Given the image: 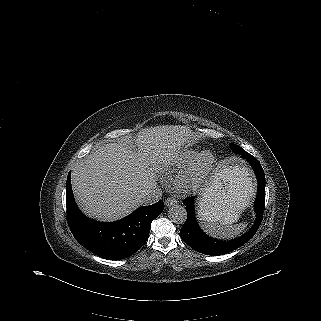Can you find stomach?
Masks as SVG:
<instances>
[{
	"label": "stomach",
	"instance_id": "stomach-1",
	"mask_svg": "<svg viewBox=\"0 0 321 321\" xmlns=\"http://www.w3.org/2000/svg\"><path fill=\"white\" fill-rule=\"evenodd\" d=\"M253 193L254 182L249 169L237 160L228 161L202 193L199 209L219 204L232 223L249 204Z\"/></svg>",
	"mask_w": 321,
	"mask_h": 321
}]
</instances>
